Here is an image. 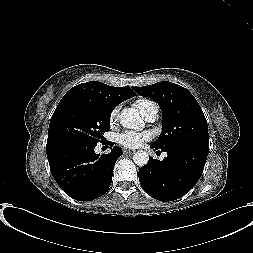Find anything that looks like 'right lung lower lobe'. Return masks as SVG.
I'll return each instance as SVG.
<instances>
[{"label": "right lung lower lobe", "instance_id": "1", "mask_svg": "<svg viewBox=\"0 0 253 253\" xmlns=\"http://www.w3.org/2000/svg\"><path fill=\"white\" fill-rule=\"evenodd\" d=\"M96 145L68 141L46 147L53 178L75 200L91 201L102 196L112 182L115 162L123 154L117 146L109 154H96Z\"/></svg>", "mask_w": 253, "mask_h": 253}]
</instances>
